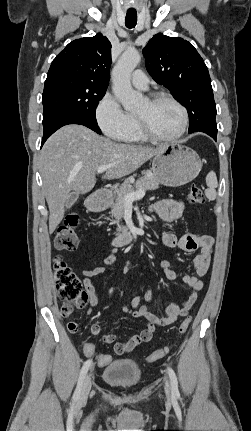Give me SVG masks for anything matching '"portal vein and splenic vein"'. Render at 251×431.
<instances>
[{"mask_svg": "<svg viewBox=\"0 0 251 431\" xmlns=\"http://www.w3.org/2000/svg\"><path fill=\"white\" fill-rule=\"evenodd\" d=\"M109 167L110 166H100L97 169V172L99 174H101V173L105 172ZM144 196H145V190H143V189L136 191V192H133V193L126 194L124 196V203H125V205L132 204L133 201L140 200Z\"/></svg>", "mask_w": 251, "mask_h": 431, "instance_id": "obj_1", "label": "portal vein and splenic vein"}]
</instances>
